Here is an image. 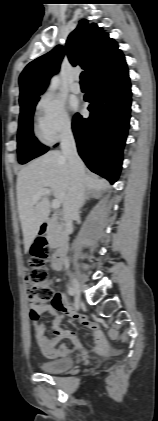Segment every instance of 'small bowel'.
<instances>
[{"label":"small bowel","instance_id":"obj_1","mask_svg":"<svg viewBox=\"0 0 158 421\" xmlns=\"http://www.w3.org/2000/svg\"><path fill=\"white\" fill-rule=\"evenodd\" d=\"M32 310L38 314L47 313L51 317V320L47 325L39 320L32 321L37 347L46 357L57 358L65 356L70 352L68 344L63 343L58 346L59 342L63 339H70L76 343L75 332L73 330H63L59 328L62 321L61 313L73 318L82 329L93 334L97 339L99 348L105 346V341L99 335L96 325L74 310L69 301L59 292L54 294V297L49 304L31 307V311ZM48 329L51 330L50 335L47 334Z\"/></svg>","mask_w":158,"mask_h":421}]
</instances>
